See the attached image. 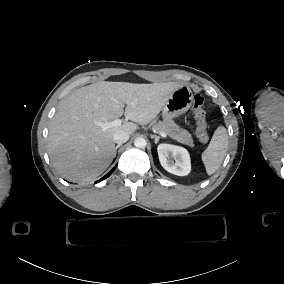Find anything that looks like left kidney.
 Listing matches in <instances>:
<instances>
[{"mask_svg":"<svg viewBox=\"0 0 284 284\" xmlns=\"http://www.w3.org/2000/svg\"><path fill=\"white\" fill-rule=\"evenodd\" d=\"M158 156L162 167L169 173L184 176L190 171L188 152L178 146L161 144L158 146Z\"/></svg>","mask_w":284,"mask_h":284,"instance_id":"5707ae66","label":"left kidney"}]
</instances>
